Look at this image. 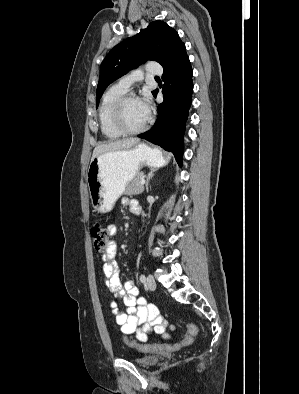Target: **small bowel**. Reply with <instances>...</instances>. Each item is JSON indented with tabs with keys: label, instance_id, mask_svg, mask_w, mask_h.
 <instances>
[{
	"label": "small bowel",
	"instance_id": "obj_1",
	"mask_svg": "<svg viewBox=\"0 0 299 394\" xmlns=\"http://www.w3.org/2000/svg\"><path fill=\"white\" fill-rule=\"evenodd\" d=\"M122 204L129 207L135 214L140 212V207L135 200L125 197L122 199ZM108 231L113 236L116 233V227L111 224L108 226ZM116 254L117 245L115 242H111L102 256L105 285L116 296V300H112L110 303L116 324L129 338L135 337L139 341H146L150 333L169 339L170 335L166 331L168 324L160 314L159 308L140 295L133 280L121 282L115 261ZM117 300H121L124 304L123 311L118 309ZM170 328L173 327L170 326Z\"/></svg>",
	"mask_w": 299,
	"mask_h": 394
}]
</instances>
